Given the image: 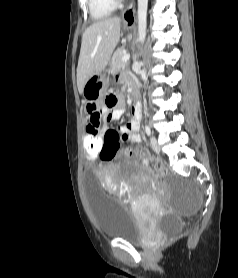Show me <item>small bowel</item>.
I'll list each match as a JSON object with an SVG mask.
<instances>
[{"label": "small bowel", "mask_w": 238, "mask_h": 278, "mask_svg": "<svg viewBox=\"0 0 238 278\" xmlns=\"http://www.w3.org/2000/svg\"><path fill=\"white\" fill-rule=\"evenodd\" d=\"M124 112L125 106L119 100H104V104L95 105L88 113L89 121L86 126L85 137H104V144L112 141L118 144L121 142L139 143L141 114L134 110L132 119L120 127V133L102 125L103 121L110 122L119 119ZM140 164L147 166V160L142 158Z\"/></svg>", "instance_id": "obj_1"}]
</instances>
